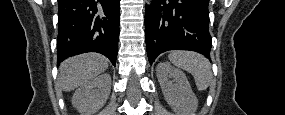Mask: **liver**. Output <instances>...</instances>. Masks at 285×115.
Wrapping results in <instances>:
<instances>
[{
  "instance_id": "1",
  "label": "liver",
  "mask_w": 285,
  "mask_h": 115,
  "mask_svg": "<svg viewBox=\"0 0 285 115\" xmlns=\"http://www.w3.org/2000/svg\"><path fill=\"white\" fill-rule=\"evenodd\" d=\"M108 68V59L96 53L66 59L59 67V84L63 91H70L93 80Z\"/></svg>"
}]
</instances>
